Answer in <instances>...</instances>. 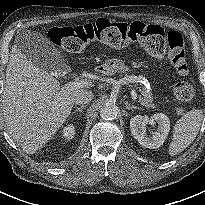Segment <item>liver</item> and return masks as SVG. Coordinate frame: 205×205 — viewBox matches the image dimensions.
<instances>
[{"label": "liver", "instance_id": "1", "mask_svg": "<svg viewBox=\"0 0 205 205\" xmlns=\"http://www.w3.org/2000/svg\"><path fill=\"white\" fill-rule=\"evenodd\" d=\"M3 114L11 137L24 152L43 147L69 116L75 95L93 84L66 91L47 71L41 70L13 45L6 69Z\"/></svg>", "mask_w": 205, "mask_h": 205}]
</instances>
